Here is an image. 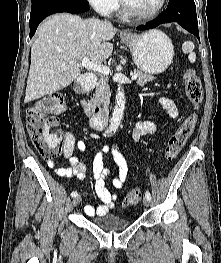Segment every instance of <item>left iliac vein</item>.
Masks as SVG:
<instances>
[{
  "label": "left iliac vein",
  "instance_id": "obj_1",
  "mask_svg": "<svg viewBox=\"0 0 221 263\" xmlns=\"http://www.w3.org/2000/svg\"><path fill=\"white\" fill-rule=\"evenodd\" d=\"M143 204H144V206L148 207L150 205V200H148L147 198H144Z\"/></svg>",
  "mask_w": 221,
  "mask_h": 263
}]
</instances>
